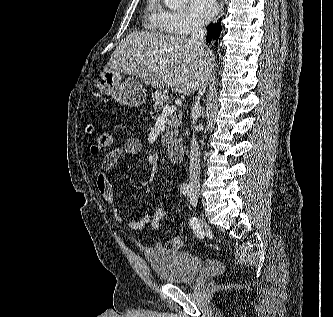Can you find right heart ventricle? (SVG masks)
<instances>
[{"label":"right heart ventricle","instance_id":"right-heart-ventricle-1","mask_svg":"<svg viewBox=\"0 0 333 317\" xmlns=\"http://www.w3.org/2000/svg\"><path fill=\"white\" fill-rule=\"evenodd\" d=\"M167 12L161 5L160 0H147L144 10L146 28L156 33H168L169 30L166 26Z\"/></svg>","mask_w":333,"mask_h":317}]
</instances>
